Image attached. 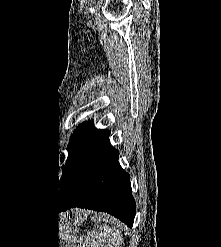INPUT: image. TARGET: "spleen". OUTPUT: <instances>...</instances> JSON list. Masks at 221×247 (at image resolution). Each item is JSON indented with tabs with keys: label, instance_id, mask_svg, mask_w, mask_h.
<instances>
[{
	"label": "spleen",
	"instance_id": "spleen-1",
	"mask_svg": "<svg viewBox=\"0 0 221 247\" xmlns=\"http://www.w3.org/2000/svg\"><path fill=\"white\" fill-rule=\"evenodd\" d=\"M123 238L119 229L103 226L100 233L91 232L87 237V247H121ZM84 247V246H83Z\"/></svg>",
	"mask_w": 221,
	"mask_h": 247
}]
</instances>
